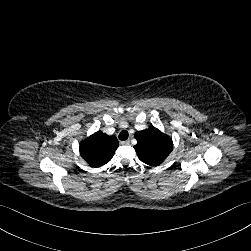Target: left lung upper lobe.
Wrapping results in <instances>:
<instances>
[{
  "instance_id": "5c2ea615",
  "label": "left lung upper lobe",
  "mask_w": 251,
  "mask_h": 251,
  "mask_svg": "<svg viewBox=\"0 0 251 251\" xmlns=\"http://www.w3.org/2000/svg\"><path fill=\"white\" fill-rule=\"evenodd\" d=\"M134 146L139 159L147 165L159 166L173 150L172 139L159 129L150 127L135 133Z\"/></svg>"
}]
</instances>
